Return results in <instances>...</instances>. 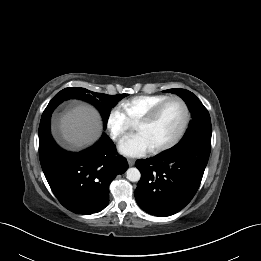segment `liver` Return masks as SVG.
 <instances>
[{"mask_svg": "<svg viewBox=\"0 0 261 261\" xmlns=\"http://www.w3.org/2000/svg\"><path fill=\"white\" fill-rule=\"evenodd\" d=\"M59 127L63 139L74 148L93 144L102 133L100 115L89 105H79L68 111Z\"/></svg>", "mask_w": 261, "mask_h": 261, "instance_id": "1", "label": "liver"}]
</instances>
